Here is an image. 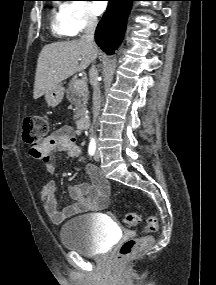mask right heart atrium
Wrapping results in <instances>:
<instances>
[{
    "label": "right heart atrium",
    "mask_w": 216,
    "mask_h": 285,
    "mask_svg": "<svg viewBox=\"0 0 216 285\" xmlns=\"http://www.w3.org/2000/svg\"><path fill=\"white\" fill-rule=\"evenodd\" d=\"M61 13L70 36L96 26L98 19L91 4L85 0H70L61 7Z\"/></svg>",
    "instance_id": "1"
}]
</instances>
